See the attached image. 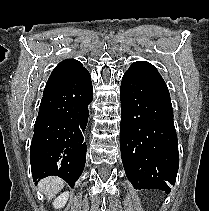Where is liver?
<instances>
[{"instance_id": "obj_1", "label": "liver", "mask_w": 209, "mask_h": 211, "mask_svg": "<svg viewBox=\"0 0 209 211\" xmlns=\"http://www.w3.org/2000/svg\"><path fill=\"white\" fill-rule=\"evenodd\" d=\"M64 187V181L58 177L51 176L39 182L38 188L45 194L47 200H51Z\"/></svg>"}]
</instances>
